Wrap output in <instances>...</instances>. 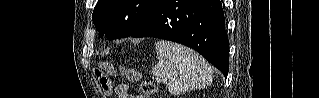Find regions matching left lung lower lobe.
I'll use <instances>...</instances> for the list:
<instances>
[{"instance_id": "obj_1", "label": "left lung lower lobe", "mask_w": 319, "mask_h": 98, "mask_svg": "<svg viewBox=\"0 0 319 98\" xmlns=\"http://www.w3.org/2000/svg\"><path fill=\"white\" fill-rule=\"evenodd\" d=\"M131 37H156L187 45L225 77L228 74L229 44L220 0H160Z\"/></svg>"}]
</instances>
